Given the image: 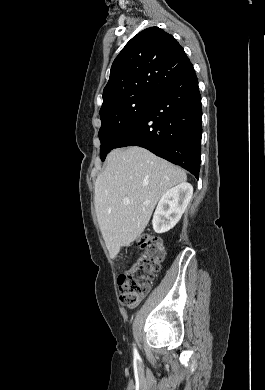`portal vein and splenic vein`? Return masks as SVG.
I'll return each instance as SVG.
<instances>
[{"label":"portal vein and splenic vein","mask_w":265,"mask_h":390,"mask_svg":"<svg viewBox=\"0 0 265 390\" xmlns=\"http://www.w3.org/2000/svg\"><path fill=\"white\" fill-rule=\"evenodd\" d=\"M123 203L124 204H129L130 203V199L129 198H124L123 199Z\"/></svg>","instance_id":"portal-vein-and-splenic-vein-1"}]
</instances>
